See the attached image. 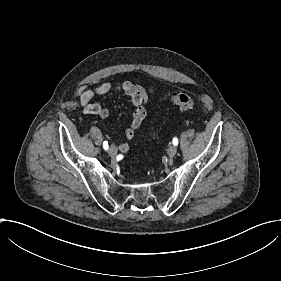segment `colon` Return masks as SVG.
I'll return each instance as SVG.
<instances>
[{
    "label": "colon",
    "mask_w": 281,
    "mask_h": 281,
    "mask_svg": "<svg viewBox=\"0 0 281 281\" xmlns=\"http://www.w3.org/2000/svg\"><path fill=\"white\" fill-rule=\"evenodd\" d=\"M172 103L182 110H193L196 108V100L187 93H177L172 97Z\"/></svg>",
    "instance_id": "1"
}]
</instances>
